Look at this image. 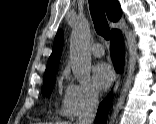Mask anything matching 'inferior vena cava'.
<instances>
[{
	"label": "inferior vena cava",
	"mask_w": 156,
	"mask_h": 124,
	"mask_svg": "<svg viewBox=\"0 0 156 124\" xmlns=\"http://www.w3.org/2000/svg\"><path fill=\"white\" fill-rule=\"evenodd\" d=\"M97 107L98 97L97 95H91L89 99H87L76 124H93Z\"/></svg>",
	"instance_id": "602c4592"
}]
</instances>
